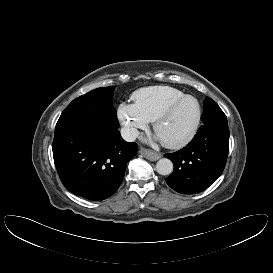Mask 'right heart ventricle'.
I'll return each mask as SVG.
<instances>
[{
    "mask_svg": "<svg viewBox=\"0 0 273 273\" xmlns=\"http://www.w3.org/2000/svg\"><path fill=\"white\" fill-rule=\"evenodd\" d=\"M185 94L169 86H150L135 91L131 98L133 105L149 121L153 122L156 116L172 101Z\"/></svg>",
    "mask_w": 273,
    "mask_h": 273,
    "instance_id": "1",
    "label": "right heart ventricle"
}]
</instances>
